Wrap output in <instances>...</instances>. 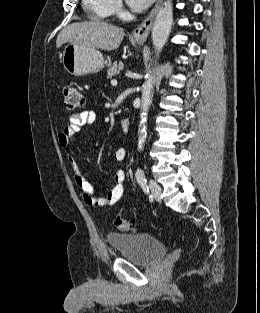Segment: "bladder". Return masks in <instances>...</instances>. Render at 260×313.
Listing matches in <instances>:
<instances>
[{
    "instance_id": "1",
    "label": "bladder",
    "mask_w": 260,
    "mask_h": 313,
    "mask_svg": "<svg viewBox=\"0 0 260 313\" xmlns=\"http://www.w3.org/2000/svg\"><path fill=\"white\" fill-rule=\"evenodd\" d=\"M108 244L125 259L140 266H152L166 257V245L149 234H113L106 236Z\"/></svg>"
}]
</instances>
